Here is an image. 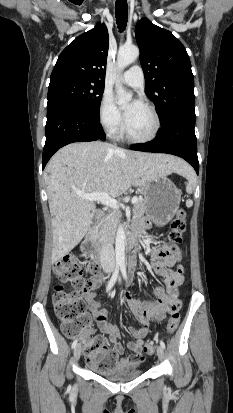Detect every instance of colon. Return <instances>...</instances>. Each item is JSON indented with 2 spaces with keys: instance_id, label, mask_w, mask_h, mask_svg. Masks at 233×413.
Wrapping results in <instances>:
<instances>
[{
  "instance_id": "5ec220e1",
  "label": "colon",
  "mask_w": 233,
  "mask_h": 413,
  "mask_svg": "<svg viewBox=\"0 0 233 413\" xmlns=\"http://www.w3.org/2000/svg\"><path fill=\"white\" fill-rule=\"evenodd\" d=\"M186 212L179 209L171 222L168 234L170 250L177 260L182 257L179 248L182 236L186 228ZM98 270L96 264L82 266L78 257L74 254H67L54 264V274L61 284L55 287L53 294V305L56 316L61 323V329L66 336L73 337L82 333L85 341V354L87 361L92 368L103 374H112L117 371V357L108 347L104 337L98 336L90 338L91 317L87 312V303L81 292L88 290L92 286L91 278H84V273L94 274ZM64 284L70 285L73 290L68 291ZM179 305L171 308V316L167 322L166 332L174 333L180 321ZM154 351L151 342L144 346V352L152 354Z\"/></svg>"
}]
</instances>
